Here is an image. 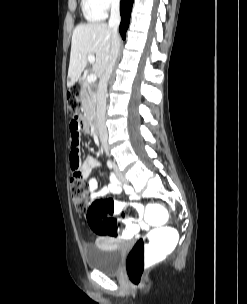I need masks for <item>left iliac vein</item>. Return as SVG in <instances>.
Wrapping results in <instances>:
<instances>
[{"instance_id": "left-iliac-vein-1", "label": "left iliac vein", "mask_w": 247, "mask_h": 304, "mask_svg": "<svg viewBox=\"0 0 247 304\" xmlns=\"http://www.w3.org/2000/svg\"><path fill=\"white\" fill-rule=\"evenodd\" d=\"M114 171L116 174L117 179L121 182V183H127L128 180L126 179V177L120 172L118 166L116 163H114Z\"/></svg>"}]
</instances>
